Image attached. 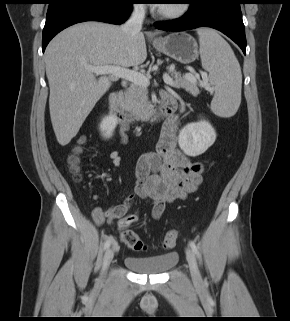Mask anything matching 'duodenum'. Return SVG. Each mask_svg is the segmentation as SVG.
<instances>
[{"label":"duodenum","instance_id":"410a0bca","mask_svg":"<svg viewBox=\"0 0 290 321\" xmlns=\"http://www.w3.org/2000/svg\"><path fill=\"white\" fill-rule=\"evenodd\" d=\"M108 105L111 114L122 124H133L140 121L155 123L175 113L180 105L170 94L162 96L160 105L147 114H133L122 106V92L115 90L109 95Z\"/></svg>","mask_w":290,"mask_h":321}]
</instances>
